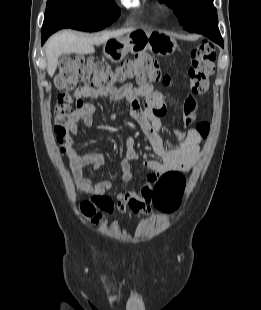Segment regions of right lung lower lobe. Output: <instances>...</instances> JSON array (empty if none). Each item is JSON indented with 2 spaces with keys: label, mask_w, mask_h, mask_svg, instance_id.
Returning a JSON list of instances; mask_svg holds the SVG:
<instances>
[{
  "label": "right lung lower lobe",
  "mask_w": 261,
  "mask_h": 310,
  "mask_svg": "<svg viewBox=\"0 0 261 310\" xmlns=\"http://www.w3.org/2000/svg\"><path fill=\"white\" fill-rule=\"evenodd\" d=\"M55 31L56 30H42V44L45 42L48 36L51 35Z\"/></svg>",
  "instance_id": "obj_1"
}]
</instances>
